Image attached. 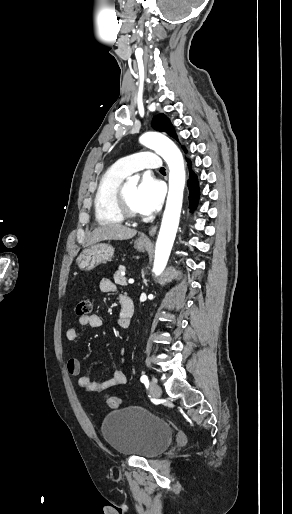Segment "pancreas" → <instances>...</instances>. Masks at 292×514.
I'll return each instance as SVG.
<instances>
[{"label":"pancreas","instance_id":"obj_1","mask_svg":"<svg viewBox=\"0 0 292 514\" xmlns=\"http://www.w3.org/2000/svg\"><path fill=\"white\" fill-rule=\"evenodd\" d=\"M121 272H126V268L124 266H120L117 272L114 274V282L115 284H119V286H127V278L122 276Z\"/></svg>","mask_w":292,"mask_h":514}]
</instances>
